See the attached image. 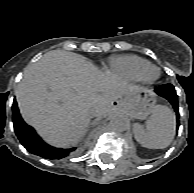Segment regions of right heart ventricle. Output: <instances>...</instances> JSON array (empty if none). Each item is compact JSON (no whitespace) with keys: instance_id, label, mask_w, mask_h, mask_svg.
<instances>
[{"instance_id":"1","label":"right heart ventricle","mask_w":194,"mask_h":193,"mask_svg":"<svg viewBox=\"0 0 194 193\" xmlns=\"http://www.w3.org/2000/svg\"><path fill=\"white\" fill-rule=\"evenodd\" d=\"M148 64L149 61L135 55H119L109 60L111 71L119 78L129 81H140V72Z\"/></svg>"}]
</instances>
